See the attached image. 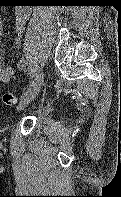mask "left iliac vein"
I'll return each instance as SVG.
<instances>
[{"label": "left iliac vein", "instance_id": "1", "mask_svg": "<svg viewBox=\"0 0 121 197\" xmlns=\"http://www.w3.org/2000/svg\"><path fill=\"white\" fill-rule=\"evenodd\" d=\"M43 79V73H39L36 75L27 90L22 95L21 101L17 107L19 111L23 110L37 96L42 87Z\"/></svg>", "mask_w": 121, "mask_h": 197}]
</instances>
